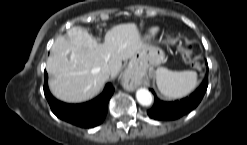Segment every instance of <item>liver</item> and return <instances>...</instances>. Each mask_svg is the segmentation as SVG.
Instances as JSON below:
<instances>
[{
	"label": "liver",
	"mask_w": 247,
	"mask_h": 145,
	"mask_svg": "<svg viewBox=\"0 0 247 145\" xmlns=\"http://www.w3.org/2000/svg\"><path fill=\"white\" fill-rule=\"evenodd\" d=\"M148 46L134 23L119 24L108 30L103 43L87 31L73 27L66 36H58L47 59L52 76V94L65 102L80 103L97 96L109 76L115 78L122 61L131 59ZM109 69V75L103 72Z\"/></svg>",
	"instance_id": "liver-1"
}]
</instances>
